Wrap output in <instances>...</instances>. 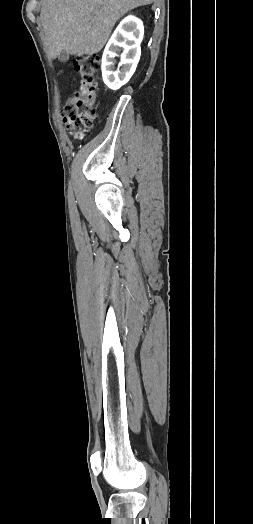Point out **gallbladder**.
I'll return each mask as SVG.
<instances>
[{"label":"gallbladder","instance_id":"gallbladder-1","mask_svg":"<svg viewBox=\"0 0 253 524\" xmlns=\"http://www.w3.org/2000/svg\"><path fill=\"white\" fill-rule=\"evenodd\" d=\"M68 59L69 54L65 50H62L61 53L58 55V60L62 63H65L68 61Z\"/></svg>","mask_w":253,"mask_h":524}]
</instances>
